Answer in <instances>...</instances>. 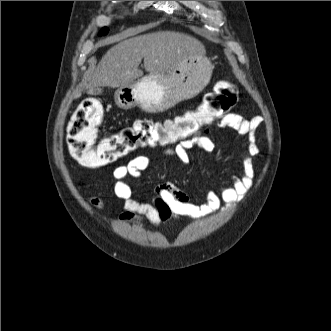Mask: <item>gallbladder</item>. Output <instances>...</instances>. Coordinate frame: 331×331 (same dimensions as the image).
Here are the masks:
<instances>
[{"mask_svg":"<svg viewBox=\"0 0 331 331\" xmlns=\"http://www.w3.org/2000/svg\"><path fill=\"white\" fill-rule=\"evenodd\" d=\"M103 90L101 88H94L92 91H89L88 93L90 95H100L102 94Z\"/></svg>","mask_w":331,"mask_h":331,"instance_id":"1","label":"gallbladder"}]
</instances>
